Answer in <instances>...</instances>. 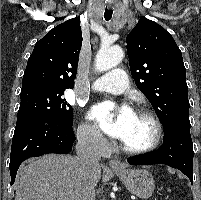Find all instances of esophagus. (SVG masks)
Wrapping results in <instances>:
<instances>
[{"label":"esophagus","mask_w":201,"mask_h":200,"mask_svg":"<svg viewBox=\"0 0 201 200\" xmlns=\"http://www.w3.org/2000/svg\"><path fill=\"white\" fill-rule=\"evenodd\" d=\"M109 165L113 169H123V164L118 159H111Z\"/></svg>","instance_id":"esophagus-1"}]
</instances>
